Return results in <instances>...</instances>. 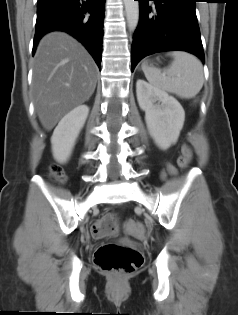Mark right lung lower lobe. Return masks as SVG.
I'll return each mask as SVG.
<instances>
[{"label": "right lung lower lobe", "instance_id": "obj_1", "mask_svg": "<svg viewBox=\"0 0 238 315\" xmlns=\"http://www.w3.org/2000/svg\"><path fill=\"white\" fill-rule=\"evenodd\" d=\"M105 0H38L33 55L40 38L61 30L78 39L101 69Z\"/></svg>", "mask_w": 238, "mask_h": 315}]
</instances>
